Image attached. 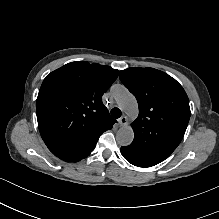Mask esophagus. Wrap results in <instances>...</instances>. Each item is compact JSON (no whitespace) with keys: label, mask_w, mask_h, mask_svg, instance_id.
Instances as JSON below:
<instances>
[{"label":"esophagus","mask_w":219,"mask_h":219,"mask_svg":"<svg viewBox=\"0 0 219 219\" xmlns=\"http://www.w3.org/2000/svg\"><path fill=\"white\" fill-rule=\"evenodd\" d=\"M118 123L121 125V126H125L128 124V120H127V117L125 115L121 116L119 119H118Z\"/></svg>","instance_id":"obj_1"}]
</instances>
